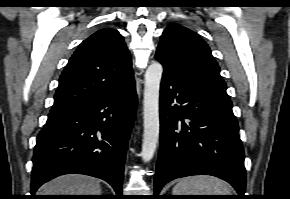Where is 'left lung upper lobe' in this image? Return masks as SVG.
I'll use <instances>...</instances> for the list:
<instances>
[{"mask_svg": "<svg viewBox=\"0 0 290 199\" xmlns=\"http://www.w3.org/2000/svg\"><path fill=\"white\" fill-rule=\"evenodd\" d=\"M155 57L165 71L227 94V86L209 46L190 29L178 24L169 25L161 36Z\"/></svg>", "mask_w": 290, "mask_h": 199, "instance_id": "obj_1", "label": "left lung upper lobe"}]
</instances>
